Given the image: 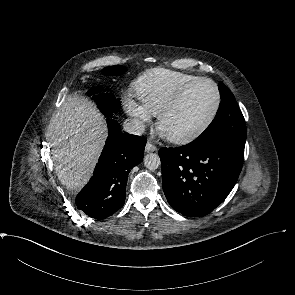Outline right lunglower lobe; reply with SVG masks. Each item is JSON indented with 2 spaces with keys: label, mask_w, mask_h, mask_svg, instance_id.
<instances>
[{
  "label": "right lung lower lobe",
  "mask_w": 295,
  "mask_h": 295,
  "mask_svg": "<svg viewBox=\"0 0 295 295\" xmlns=\"http://www.w3.org/2000/svg\"><path fill=\"white\" fill-rule=\"evenodd\" d=\"M106 117V144L93 176L76 197L77 208L95 219L107 218L124 205L128 173L142 161L146 145L143 137L122 133L119 123Z\"/></svg>",
  "instance_id": "obj_1"
}]
</instances>
